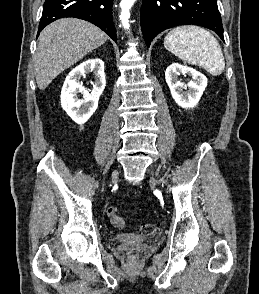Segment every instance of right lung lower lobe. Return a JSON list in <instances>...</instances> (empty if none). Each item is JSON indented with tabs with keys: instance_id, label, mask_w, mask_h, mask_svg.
Masks as SVG:
<instances>
[{
	"instance_id": "right-lung-lower-lobe-1",
	"label": "right lung lower lobe",
	"mask_w": 259,
	"mask_h": 294,
	"mask_svg": "<svg viewBox=\"0 0 259 294\" xmlns=\"http://www.w3.org/2000/svg\"><path fill=\"white\" fill-rule=\"evenodd\" d=\"M112 4L113 0H45L38 35L53 21L64 17H74L95 24L116 42Z\"/></svg>"
}]
</instances>
